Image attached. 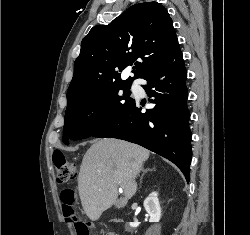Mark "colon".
I'll return each instance as SVG.
<instances>
[{
    "label": "colon",
    "mask_w": 250,
    "mask_h": 235,
    "mask_svg": "<svg viewBox=\"0 0 250 235\" xmlns=\"http://www.w3.org/2000/svg\"><path fill=\"white\" fill-rule=\"evenodd\" d=\"M53 163L56 179L59 183H67L76 178L78 173L77 165L75 162L69 160L64 154L55 153L53 155ZM60 200L66 220L75 225L78 235H90L89 227L76 217L75 207L77 197L75 192L73 190H63L60 193Z\"/></svg>",
    "instance_id": "colon-1"
}]
</instances>
